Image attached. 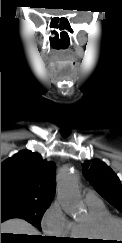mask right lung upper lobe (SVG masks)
Here are the masks:
<instances>
[{
	"label": "right lung upper lobe",
	"instance_id": "obj_1",
	"mask_svg": "<svg viewBox=\"0 0 122 243\" xmlns=\"http://www.w3.org/2000/svg\"><path fill=\"white\" fill-rule=\"evenodd\" d=\"M55 164L36 152L20 151L1 164V196L50 201L55 194Z\"/></svg>",
	"mask_w": 122,
	"mask_h": 243
}]
</instances>
